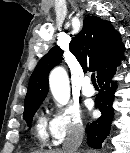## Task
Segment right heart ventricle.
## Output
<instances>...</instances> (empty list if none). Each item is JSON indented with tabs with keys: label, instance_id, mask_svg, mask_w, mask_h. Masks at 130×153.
Instances as JSON below:
<instances>
[{
	"label": "right heart ventricle",
	"instance_id": "obj_1",
	"mask_svg": "<svg viewBox=\"0 0 130 153\" xmlns=\"http://www.w3.org/2000/svg\"><path fill=\"white\" fill-rule=\"evenodd\" d=\"M49 129L46 117L41 115L35 124V135L40 143L45 144L48 141Z\"/></svg>",
	"mask_w": 130,
	"mask_h": 153
}]
</instances>
